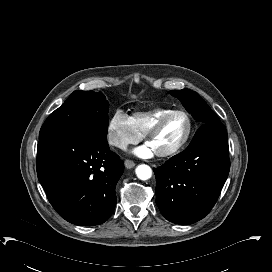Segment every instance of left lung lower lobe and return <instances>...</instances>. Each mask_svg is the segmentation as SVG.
Listing matches in <instances>:
<instances>
[{
  "label": "left lung lower lobe",
  "mask_w": 272,
  "mask_h": 272,
  "mask_svg": "<svg viewBox=\"0 0 272 272\" xmlns=\"http://www.w3.org/2000/svg\"><path fill=\"white\" fill-rule=\"evenodd\" d=\"M229 169L225 126L204 123L183 152L153 169L160 212L177 224L201 220L216 203Z\"/></svg>",
  "instance_id": "0a47b994"
}]
</instances>
